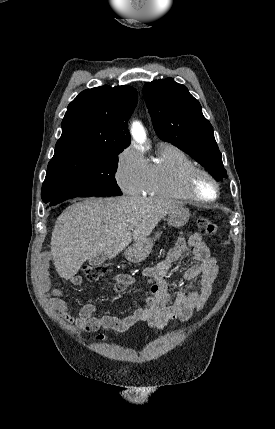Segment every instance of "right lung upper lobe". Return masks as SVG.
Instances as JSON below:
<instances>
[{"label": "right lung upper lobe", "instance_id": "obj_1", "mask_svg": "<svg viewBox=\"0 0 275 429\" xmlns=\"http://www.w3.org/2000/svg\"><path fill=\"white\" fill-rule=\"evenodd\" d=\"M136 103L131 86L82 91L68 106L55 153L123 151L130 144L127 122Z\"/></svg>", "mask_w": 275, "mask_h": 429}]
</instances>
